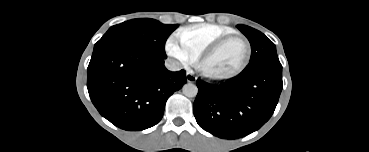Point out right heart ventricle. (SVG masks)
<instances>
[{"mask_svg":"<svg viewBox=\"0 0 369 152\" xmlns=\"http://www.w3.org/2000/svg\"><path fill=\"white\" fill-rule=\"evenodd\" d=\"M233 33H236L235 30L228 26L199 23L180 29L178 37L197 59L213 42Z\"/></svg>","mask_w":369,"mask_h":152,"instance_id":"right-heart-ventricle-1","label":"right heart ventricle"}]
</instances>
